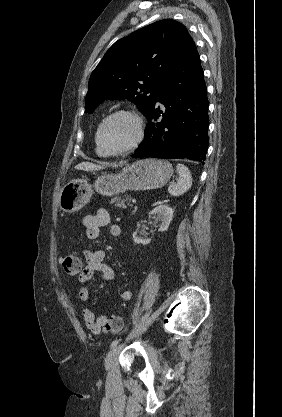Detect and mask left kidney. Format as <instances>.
Here are the masks:
<instances>
[{"instance_id": "obj_1", "label": "left kidney", "mask_w": 282, "mask_h": 417, "mask_svg": "<svg viewBox=\"0 0 282 417\" xmlns=\"http://www.w3.org/2000/svg\"><path fill=\"white\" fill-rule=\"evenodd\" d=\"M174 209H171L169 204H165V202H161L158 206H155L153 211H150L148 215H157V217H161L162 223L160 225V229L158 231H167L172 219H173ZM143 223V221H142ZM134 243L136 245H149L151 243V239H142V237H138V233H133L132 237Z\"/></svg>"}]
</instances>
